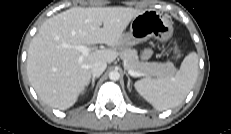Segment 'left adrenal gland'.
I'll use <instances>...</instances> for the list:
<instances>
[{"instance_id": "obj_1", "label": "left adrenal gland", "mask_w": 231, "mask_h": 134, "mask_svg": "<svg viewBox=\"0 0 231 134\" xmlns=\"http://www.w3.org/2000/svg\"><path fill=\"white\" fill-rule=\"evenodd\" d=\"M126 76L128 78L127 88L130 90V84H131L130 76L127 73Z\"/></svg>"}]
</instances>
